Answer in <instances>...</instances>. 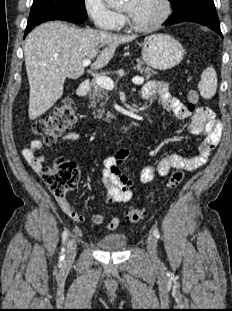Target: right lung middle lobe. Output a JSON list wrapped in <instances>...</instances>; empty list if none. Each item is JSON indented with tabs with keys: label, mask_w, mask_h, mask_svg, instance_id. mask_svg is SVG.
Masks as SVG:
<instances>
[{
	"label": "right lung middle lobe",
	"mask_w": 232,
	"mask_h": 311,
	"mask_svg": "<svg viewBox=\"0 0 232 311\" xmlns=\"http://www.w3.org/2000/svg\"><path fill=\"white\" fill-rule=\"evenodd\" d=\"M52 10L67 11L87 18L84 0H34L30 16Z\"/></svg>",
	"instance_id": "1"
}]
</instances>
